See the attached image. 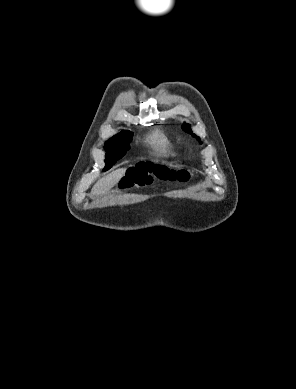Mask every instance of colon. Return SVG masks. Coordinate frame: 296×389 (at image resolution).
<instances>
[{
	"label": "colon",
	"mask_w": 296,
	"mask_h": 389,
	"mask_svg": "<svg viewBox=\"0 0 296 389\" xmlns=\"http://www.w3.org/2000/svg\"><path fill=\"white\" fill-rule=\"evenodd\" d=\"M187 179L188 174L185 171L171 170L162 165L141 162L128 170L126 176L122 180L121 186L125 189H129L150 185L154 180L185 182Z\"/></svg>",
	"instance_id": "5ec220e1"
}]
</instances>
